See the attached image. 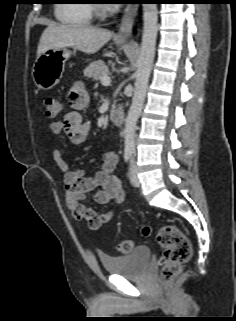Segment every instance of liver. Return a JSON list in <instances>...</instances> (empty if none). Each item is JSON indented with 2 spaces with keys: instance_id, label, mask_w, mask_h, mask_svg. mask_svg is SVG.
Segmentation results:
<instances>
[{
  "instance_id": "obj_1",
  "label": "liver",
  "mask_w": 236,
  "mask_h": 321,
  "mask_svg": "<svg viewBox=\"0 0 236 321\" xmlns=\"http://www.w3.org/2000/svg\"><path fill=\"white\" fill-rule=\"evenodd\" d=\"M107 29L87 26L49 25L39 41L37 57L48 49L73 47L87 54L99 51L112 37Z\"/></svg>"
}]
</instances>
